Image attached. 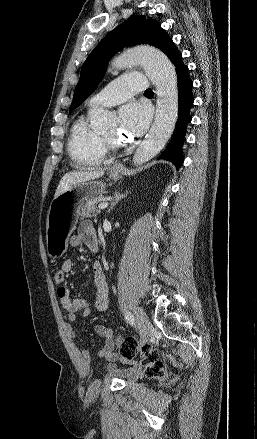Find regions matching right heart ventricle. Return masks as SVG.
<instances>
[{
    "label": "right heart ventricle",
    "instance_id": "1",
    "mask_svg": "<svg viewBox=\"0 0 257 439\" xmlns=\"http://www.w3.org/2000/svg\"><path fill=\"white\" fill-rule=\"evenodd\" d=\"M68 152L75 166L97 167L105 158L106 145L103 137L92 130L85 119L80 118L71 128Z\"/></svg>",
    "mask_w": 257,
    "mask_h": 439
}]
</instances>
